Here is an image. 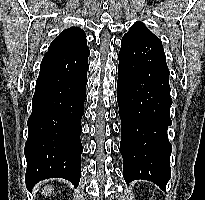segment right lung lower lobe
Here are the masks:
<instances>
[{"label":"right lung lower lobe","instance_id":"1","mask_svg":"<svg viewBox=\"0 0 205 200\" xmlns=\"http://www.w3.org/2000/svg\"><path fill=\"white\" fill-rule=\"evenodd\" d=\"M89 48L47 52L42 60L28 119L26 186L64 178L77 187L81 177V118L84 114Z\"/></svg>","mask_w":205,"mask_h":200}]
</instances>
